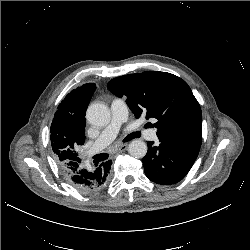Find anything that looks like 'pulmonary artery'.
Wrapping results in <instances>:
<instances>
[{
    "instance_id": "e3ab8cb5",
    "label": "pulmonary artery",
    "mask_w": 250,
    "mask_h": 250,
    "mask_svg": "<svg viewBox=\"0 0 250 250\" xmlns=\"http://www.w3.org/2000/svg\"><path fill=\"white\" fill-rule=\"evenodd\" d=\"M111 121L103 129L97 140L89 149L87 155L92 156L106 148L118 135L121 126L128 119V110L122 99L116 98L111 103ZM145 137L149 140L156 139V130L150 129L145 132Z\"/></svg>"
}]
</instances>
